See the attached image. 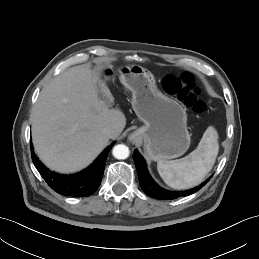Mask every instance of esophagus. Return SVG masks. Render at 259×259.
Returning <instances> with one entry per match:
<instances>
[{"instance_id": "obj_1", "label": "esophagus", "mask_w": 259, "mask_h": 259, "mask_svg": "<svg viewBox=\"0 0 259 259\" xmlns=\"http://www.w3.org/2000/svg\"><path fill=\"white\" fill-rule=\"evenodd\" d=\"M129 138L131 141H136L137 136H136V134L132 133Z\"/></svg>"}]
</instances>
